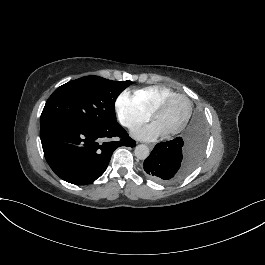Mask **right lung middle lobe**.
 <instances>
[{
	"label": "right lung middle lobe",
	"mask_w": 265,
	"mask_h": 265,
	"mask_svg": "<svg viewBox=\"0 0 265 265\" xmlns=\"http://www.w3.org/2000/svg\"><path fill=\"white\" fill-rule=\"evenodd\" d=\"M131 81H111L86 76L57 88L47 100L40 127L60 121L91 122L96 125L117 123L114 104Z\"/></svg>",
	"instance_id": "dd1d6c3e"
}]
</instances>
